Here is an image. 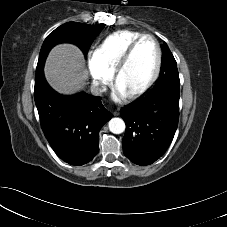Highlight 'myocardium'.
<instances>
[{"label": "myocardium", "instance_id": "1", "mask_svg": "<svg viewBox=\"0 0 227 227\" xmlns=\"http://www.w3.org/2000/svg\"><path fill=\"white\" fill-rule=\"evenodd\" d=\"M145 38L151 39L156 46L157 63H156L155 70H154L152 76L150 77V79L140 88L126 94V96L128 98H131V99L139 97L142 94H144L145 92H147L153 86V84L157 81V79L160 75V72H161L162 61H163V55H162V49H161L160 43L151 34H141L140 36H138L136 39H134L129 44V46L127 47V49L123 53L122 57L118 61L117 65L115 66L114 71H113V80H114V83L117 85L118 78L121 75V73L123 72V70L126 68V66L128 65L135 48Z\"/></svg>", "mask_w": 227, "mask_h": 227}]
</instances>
